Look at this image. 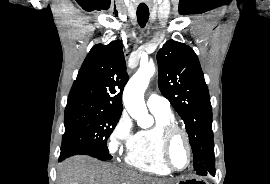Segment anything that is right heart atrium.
Returning <instances> with one entry per match:
<instances>
[{"label":"right heart atrium","mask_w":270,"mask_h":184,"mask_svg":"<svg viewBox=\"0 0 270 184\" xmlns=\"http://www.w3.org/2000/svg\"><path fill=\"white\" fill-rule=\"evenodd\" d=\"M134 136L132 119L126 112H122L108 136V151L115 155L128 150Z\"/></svg>","instance_id":"d8ad5b80"}]
</instances>
